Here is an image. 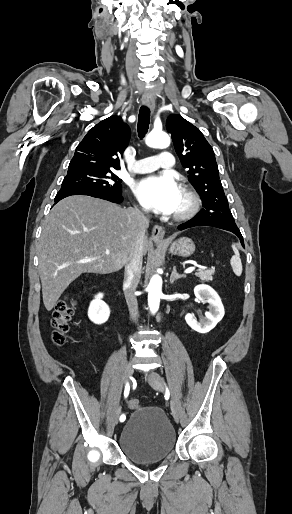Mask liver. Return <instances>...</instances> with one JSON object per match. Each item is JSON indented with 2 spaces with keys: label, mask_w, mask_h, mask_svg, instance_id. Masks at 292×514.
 <instances>
[{
  "label": "liver",
  "mask_w": 292,
  "mask_h": 514,
  "mask_svg": "<svg viewBox=\"0 0 292 514\" xmlns=\"http://www.w3.org/2000/svg\"><path fill=\"white\" fill-rule=\"evenodd\" d=\"M132 208L90 196H69L46 216L39 238L43 302L51 312L61 294L84 272L112 274L125 266L136 232ZM143 254L148 238H143ZM110 250V254H105Z\"/></svg>",
  "instance_id": "6515ba94"
}]
</instances>
